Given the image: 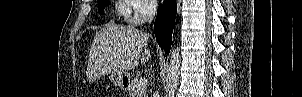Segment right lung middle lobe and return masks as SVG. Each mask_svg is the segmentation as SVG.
I'll return each instance as SVG.
<instances>
[{
    "label": "right lung middle lobe",
    "instance_id": "dd1d6c3e",
    "mask_svg": "<svg viewBox=\"0 0 302 97\" xmlns=\"http://www.w3.org/2000/svg\"><path fill=\"white\" fill-rule=\"evenodd\" d=\"M99 2V7H98V12L100 14H103L104 12V8L106 7V5L108 4V0H100Z\"/></svg>",
    "mask_w": 302,
    "mask_h": 97
}]
</instances>
